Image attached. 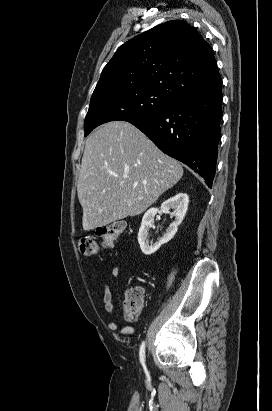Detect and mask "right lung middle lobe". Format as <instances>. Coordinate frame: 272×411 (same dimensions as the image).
<instances>
[{
  "instance_id": "obj_1",
  "label": "right lung middle lobe",
  "mask_w": 272,
  "mask_h": 411,
  "mask_svg": "<svg viewBox=\"0 0 272 411\" xmlns=\"http://www.w3.org/2000/svg\"><path fill=\"white\" fill-rule=\"evenodd\" d=\"M176 100L175 95L169 91L146 87L93 93L84 124L85 136L109 121L132 122L152 116L168 108Z\"/></svg>"
}]
</instances>
